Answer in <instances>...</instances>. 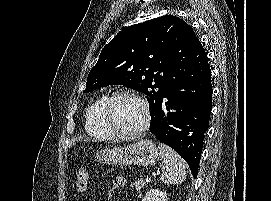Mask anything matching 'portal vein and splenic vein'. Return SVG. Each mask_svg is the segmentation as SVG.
Wrapping results in <instances>:
<instances>
[{
  "mask_svg": "<svg viewBox=\"0 0 271 201\" xmlns=\"http://www.w3.org/2000/svg\"><path fill=\"white\" fill-rule=\"evenodd\" d=\"M151 181V178L150 177H147L146 178V182H150Z\"/></svg>",
  "mask_w": 271,
  "mask_h": 201,
  "instance_id": "18ae733b",
  "label": "portal vein and splenic vein"
}]
</instances>
